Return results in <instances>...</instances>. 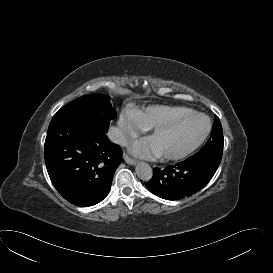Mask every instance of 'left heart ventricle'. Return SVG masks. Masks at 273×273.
<instances>
[{
    "label": "left heart ventricle",
    "mask_w": 273,
    "mask_h": 273,
    "mask_svg": "<svg viewBox=\"0 0 273 273\" xmlns=\"http://www.w3.org/2000/svg\"><path fill=\"white\" fill-rule=\"evenodd\" d=\"M205 126L206 122L203 118H190L174 127L156 133L150 139V143L160 153H179L201 137Z\"/></svg>",
    "instance_id": "b2bd125f"
}]
</instances>
